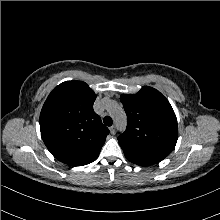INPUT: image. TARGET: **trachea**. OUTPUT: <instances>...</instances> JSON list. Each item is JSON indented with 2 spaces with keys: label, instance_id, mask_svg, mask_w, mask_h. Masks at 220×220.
<instances>
[{
  "label": "trachea",
  "instance_id": "3493384b",
  "mask_svg": "<svg viewBox=\"0 0 220 220\" xmlns=\"http://www.w3.org/2000/svg\"><path fill=\"white\" fill-rule=\"evenodd\" d=\"M103 122L106 126H111L113 124L112 118L110 116H105Z\"/></svg>",
  "mask_w": 220,
  "mask_h": 220
}]
</instances>
